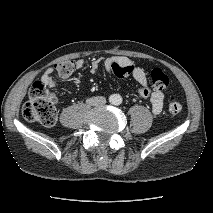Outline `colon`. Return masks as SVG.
<instances>
[{"label":"colon","instance_id":"obj_1","mask_svg":"<svg viewBox=\"0 0 213 213\" xmlns=\"http://www.w3.org/2000/svg\"><path fill=\"white\" fill-rule=\"evenodd\" d=\"M58 74L62 77L69 76L75 69L73 61L66 60L55 65ZM112 72L117 77H125L131 74L132 65L129 63H115ZM150 78L153 88L164 90L169 85L168 76L157 67L150 69ZM168 109L172 114H178L182 110L180 101L171 96ZM22 115L27 121L38 122L44 126H53L57 121L56 96L42 82H35L31 86L28 100L23 105Z\"/></svg>","mask_w":213,"mask_h":213}]
</instances>
